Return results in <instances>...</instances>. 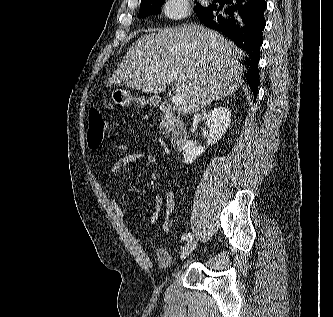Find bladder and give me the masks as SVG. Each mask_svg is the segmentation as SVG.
<instances>
[{
	"instance_id": "31cf9c89",
	"label": "bladder",
	"mask_w": 333,
	"mask_h": 317,
	"mask_svg": "<svg viewBox=\"0 0 333 317\" xmlns=\"http://www.w3.org/2000/svg\"><path fill=\"white\" fill-rule=\"evenodd\" d=\"M155 258L158 264V267L163 271L170 270L172 266V258L170 253L165 248H158L155 253Z\"/></svg>"
}]
</instances>
